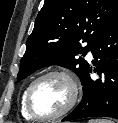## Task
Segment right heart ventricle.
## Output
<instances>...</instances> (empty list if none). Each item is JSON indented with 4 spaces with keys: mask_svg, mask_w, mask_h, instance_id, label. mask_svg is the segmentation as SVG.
I'll return each mask as SVG.
<instances>
[{
    "mask_svg": "<svg viewBox=\"0 0 118 123\" xmlns=\"http://www.w3.org/2000/svg\"><path fill=\"white\" fill-rule=\"evenodd\" d=\"M29 86H27L24 91L22 92L21 99H20V113L25 118L26 120H32L33 118L29 115V113L26 110V105H25V96L26 92Z\"/></svg>",
    "mask_w": 118,
    "mask_h": 123,
    "instance_id": "e07e8e85",
    "label": "right heart ventricle"
}]
</instances>
